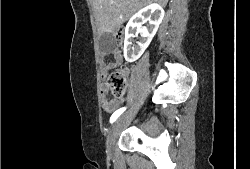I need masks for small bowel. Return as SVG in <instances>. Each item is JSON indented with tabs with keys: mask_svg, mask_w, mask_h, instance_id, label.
<instances>
[{
	"mask_svg": "<svg viewBox=\"0 0 250 169\" xmlns=\"http://www.w3.org/2000/svg\"><path fill=\"white\" fill-rule=\"evenodd\" d=\"M112 54L114 56V62L112 63H103L102 64V78L105 80L109 74V72L118 64H121L122 62V55L121 52L114 48L112 50ZM124 74H128V70L125 69ZM102 97H103V109L106 113H112L116 109H118L120 105V100L111 98L109 96V84L104 81L102 85Z\"/></svg>",
	"mask_w": 250,
	"mask_h": 169,
	"instance_id": "small-bowel-1",
	"label": "small bowel"
}]
</instances>
